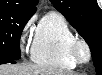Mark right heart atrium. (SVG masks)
Listing matches in <instances>:
<instances>
[{"mask_svg": "<svg viewBox=\"0 0 102 75\" xmlns=\"http://www.w3.org/2000/svg\"><path fill=\"white\" fill-rule=\"evenodd\" d=\"M31 26H32V20H29L22 28L21 33H20V46L23 49L25 42L30 36L31 32Z\"/></svg>", "mask_w": 102, "mask_h": 75, "instance_id": "d8ad5b80", "label": "right heart atrium"}]
</instances>
